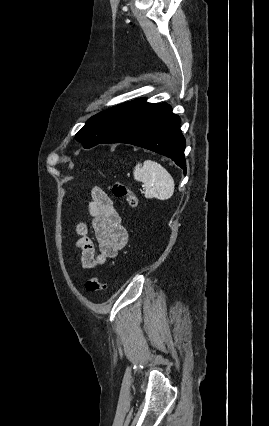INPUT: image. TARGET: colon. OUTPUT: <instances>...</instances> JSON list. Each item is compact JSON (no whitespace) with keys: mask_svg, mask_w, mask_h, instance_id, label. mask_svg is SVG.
<instances>
[{"mask_svg":"<svg viewBox=\"0 0 269 426\" xmlns=\"http://www.w3.org/2000/svg\"><path fill=\"white\" fill-rule=\"evenodd\" d=\"M112 194L119 199H123L130 208H135L138 204V199L135 193L122 183H114L111 186ZM106 285L98 277H90L86 280V289L90 293L101 292Z\"/></svg>","mask_w":269,"mask_h":426,"instance_id":"colon-1","label":"colon"}]
</instances>
